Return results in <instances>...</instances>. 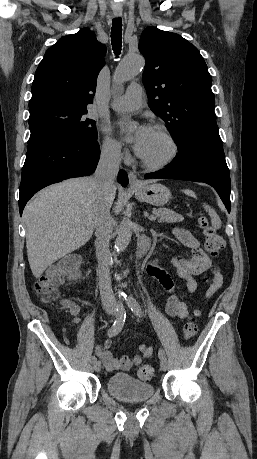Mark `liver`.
<instances>
[{
	"mask_svg": "<svg viewBox=\"0 0 257 459\" xmlns=\"http://www.w3.org/2000/svg\"><path fill=\"white\" fill-rule=\"evenodd\" d=\"M115 193L116 188L110 195L111 205ZM97 200L93 177H83L42 190L25 207L27 255L35 278L90 240L96 226Z\"/></svg>",
	"mask_w": 257,
	"mask_h": 459,
	"instance_id": "liver-1",
	"label": "liver"
}]
</instances>
